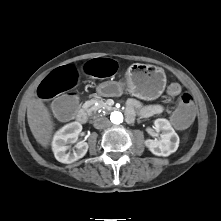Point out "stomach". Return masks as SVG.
I'll return each instance as SVG.
<instances>
[{
    "mask_svg": "<svg viewBox=\"0 0 221 221\" xmlns=\"http://www.w3.org/2000/svg\"><path fill=\"white\" fill-rule=\"evenodd\" d=\"M110 86L142 100H154L165 89L166 75L160 67L135 63L127 69L123 81L111 82Z\"/></svg>",
    "mask_w": 221,
    "mask_h": 221,
    "instance_id": "0dacf381",
    "label": "stomach"
}]
</instances>
